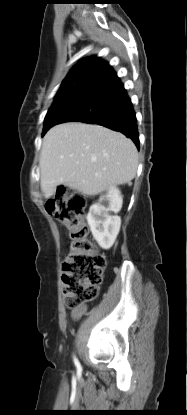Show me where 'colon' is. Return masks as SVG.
<instances>
[{"label": "colon", "mask_w": 187, "mask_h": 415, "mask_svg": "<svg viewBox=\"0 0 187 415\" xmlns=\"http://www.w3.org/2000/svg\"><path fill=\"white\" fill-rule=\"evenodd\" d=\"M46 208L66 228L69 236V252L62 265L61 280L66 306L77 309L97 297L106 258L90 238L84 195L61 186Z\"/></svg>", "instance_id": "colon-1"}]
</instances>
